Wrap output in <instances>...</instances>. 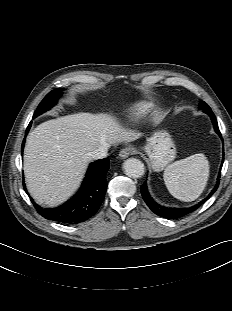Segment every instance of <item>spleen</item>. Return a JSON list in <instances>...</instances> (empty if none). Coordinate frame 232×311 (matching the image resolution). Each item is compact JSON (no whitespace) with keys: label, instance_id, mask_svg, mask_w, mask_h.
<instances>
[{"label":"spleen","instance_id":"1","mask_svg":"<svg viewBox=\"0 0 232 311\" xmlns=\"http://www.w3.org/2000/svg\"><path fill=\"white\" fill-rule=\"evenodd\" d=\"M209 163L204 154H194L168 165L163 174L168 191L182 201L197 199L206 187Z\"/></svg>","mask_w":232,"mask_h":311}]
</instances>
